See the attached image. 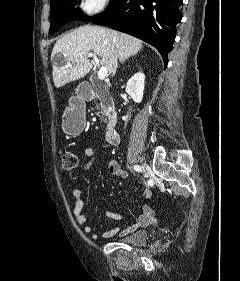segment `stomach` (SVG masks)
Masks as SVG:
<instances>
[{"label":"stomach","instance_id":"obj_1","mask_svg":"<svg viewBox=\"0 0 240 281\" xmlns=\"http://www.w3.org/2000/svg\"><path fill=\"white\" fill-rule=\"evenodd\" d=\"M85 106L79 101H71L62 116V128L69 135H78L85 126Z\"/></svg>","mask_w":240,"mask_h":281}]
</instances>
